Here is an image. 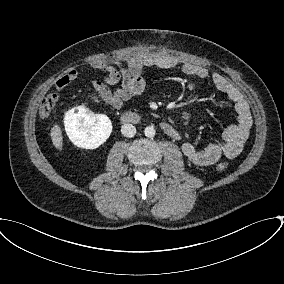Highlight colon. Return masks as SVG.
<instances>
[{
    "mask_svg": "<svg viewBox=\"0 0 284 284\" xmlns=\"http://www.w3.org/2000/svg\"><path fill=\"white\" fill-rule=\"evenodd\" d=\"M58 94L56 92L48 94L41 102L39 114L40 117L44 120L48 119L51 115L54 107L58 102ZM227 168V163L222 162L217 165L219 171H224Z\"/></svg>",
    "mask_w": 284,
    "mask_h": 284,
    "instance_id": "1",
    "label": "colon"
}]
</instances>
